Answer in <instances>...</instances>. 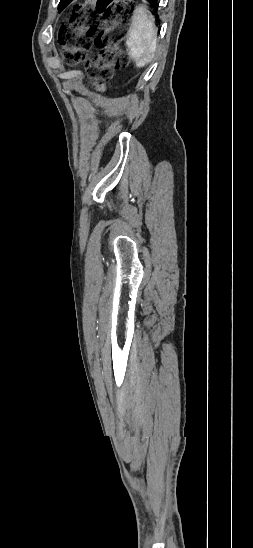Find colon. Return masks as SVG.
<instances>
[{
    "label": "colon",
    "mask_w": 253,
    "mask_h": 548,
    "mask_svg": "<svg viewBox=\"0 0 253 548\" xmlns=\"http://www.w3.org/2000/svg\"><path fill=\"white\" fill-rule=\"evenodd\" d=\"M134 10L133 0H84L74 7L71 26L60 33L68 63L84 61L93 43L99 49L98 56L88 61L90 79L99 89L115 70L128 64L119 44Z\"/></svg>",
    "instance_id": "obj_1"
}]
</instances>
